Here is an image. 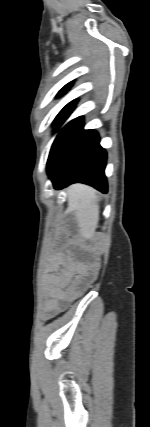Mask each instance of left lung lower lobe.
<instances>
[{
  "instance_id": "1",
  "label": "left lung lower lobe",
  "mask_w": 150,
  "mask_h": 427,
  "mask_svg": "<svg viewBox=\"0 0 150 427\" xmlns=\"http://www.w3.org/2000/svg\"><path fill=\"white\" fill-rule=\"evenodd\" d=\"M75 102L64 108L54 123L59 126L71 113ZM106 152L98 134L83 130V117L69 122L57 135L47 162V171L55 189L81 182L107 193L104 174Z\"/></svg>"
}]
</instances>
